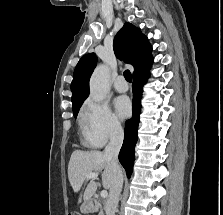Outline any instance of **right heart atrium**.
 <instances>
[{
  "label": "right heart atrium",
  "instance_id": "right-heart-atrium-1",
  "mask_svg": "<svg viewBox=\"0 0 223 215\" xmlns=\"http://www.w3.org/2000/svg\"><path fill=\"white\" fill-rule=\"evenodd\" d=\"M81 126L98 145H103L122 133V126L109 106L91 100L82 108Z\"/></svg>",
  "mask_w": 223,
  "mask_h": 215
}]
</instances>
